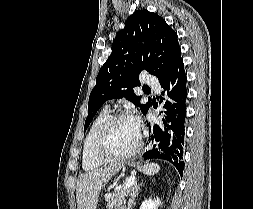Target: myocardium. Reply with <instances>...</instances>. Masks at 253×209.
<instances>
[{"mask_svg": "<svg viewBox=\"0 0 253 209\" xmlns=\"http://www.w3.org/2000/svg\"><path fill=\"white\" fill-rule=\"evenodd\" d=\"M127 118H130V116L127 113L120 112V113L109 115L108 118L103 122V124L101 125L97 133L95 143H94V148H93L94 155L98 160L102 162H121V161H125L127 159L132 158L139 152L142 145V135L140 131H138V138H137V142L135 146L129 152L123 155L112 156V155L107 154L103 149L105 138L110 126L118 120L127 119Z\"/></svg>", "mask_w": 253, "mask_h": 209, "instance_id": "f54148a6", "label": "myocardium"}]
</instances>
